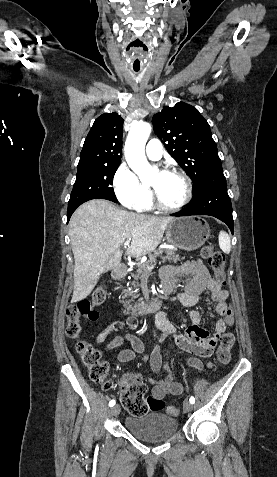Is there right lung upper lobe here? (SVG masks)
Instances as JSON below:
<instances>
[{
	"label": "right lung upper lobe",
	"instance_id": "obj_1",
	"mask_svg": "<svg viewBox=\"0 0 277 477\" xmlns=\"http://www.w3.org/2000/svg\"><path fill=\"white\" fill-rule=\"evenodd\" d=\"M123 119L117 113L99 116L88 133L78 163V169L120 165L122 155Z\"/></svg>",
	"mask_w": 277,
	"mask_h": 477
}]
</instances>
